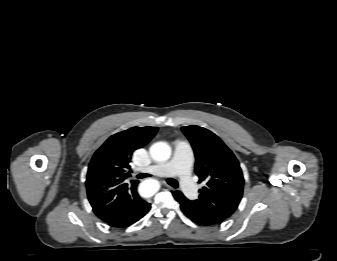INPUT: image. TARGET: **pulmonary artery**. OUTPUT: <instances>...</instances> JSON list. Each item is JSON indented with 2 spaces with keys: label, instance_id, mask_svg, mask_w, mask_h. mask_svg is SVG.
<instances>
[{
  "label": "pulmonary artery",
  "instance_id": "obj_1",
  "mask_svg": "<svg viewBox=\"0 0 337 261\" xmlns=\"http://www.w3.org/2000/svg\"><path fill=\"white\" fill-rule=\"evenodd\" d=\"M192 162L193 150L191 145L185 141H178L172 159L165 164L151 166L147 172L156 176H178L184 194L189 198H195L197 188L191 179Z\"/></svg>",
  "mask_w": 337,
  "mask_h": 261
}]
</instances>
